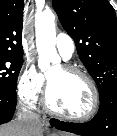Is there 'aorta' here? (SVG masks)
I'll return each instance as SVG.
<instances>
[{
	"mask_svg": "<svg viewBox=\"0 0 117 136\" xmlns=\"http://www.w3.org/2000/svg\"><path fill=\"white\" fill-rule=\"evenodd\" d=\"M35 19L36 46L39 54L38 66L41 71L46 72L51 67H57L61 61L55 48V15L51 11H47Z\"/></svg>",
	"mask_w": 117,
	"mask_h": 136,
	"instance_id": "762f6f07",
	"label": "aorta"
}]
</instances>
